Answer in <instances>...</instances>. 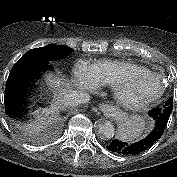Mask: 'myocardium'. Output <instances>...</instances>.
I'll list each match as a JSON object with an SVG mask.
<instances>
[{
    "mask_svg": "<svg viewBox=\"0 0 177 177\" xmlns=\"http://www.w3.org/2000/svg\"><path fill=\"white\" fill-rule=\"evenodd\" d=\"M137 77H150L154 78L160 82L161 87L160 90L153 96L141 99H130L124 93V86L126 81L129 78H137ZM114 96L119 104L129 109H142L147 107L148 105L154 103L158 99L162 97L165 91V82L162 77L154 72L146 71V72H138V73H128L120 77L117 82L112 87Z\"/></svg>",
    "mask_w": 177,
    "mask_h": 177,
    "instance_id": "f54148a6",
    "label": "myocardium"
}]
</instances>
